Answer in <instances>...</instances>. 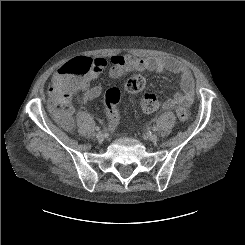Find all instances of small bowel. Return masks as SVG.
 Masks as SVG:
<instances>
[{"label":"small bowel","mask_w":245,"mask_h":245,"mask_svg":"<svg viewBox=\"0 0 245 245\" xmlns=\"http://www.w3.org/2000/svg\"><path fill=\"white\" fill-rule=\"evenodd\" d=\"M95 61L102 69L108 67L107 61L103 59H95ZM62 67L63 65L53 75V81L62 77ZM127 71H168L179 75L182 92L159 101L157 109L169 110L178 105L189 106L194 100V80L191 73L183 64L174 59L166 57L137 58L127 54L112 55L110 58L111 76L118 78ZM76 91L83 94L85 101H91L101 95L102 86L98 84L90 86V83H87ZM116 117L118 118V111H116Z\"/></svg>","instance_id":"small-bowel-1"}]
</instances>
